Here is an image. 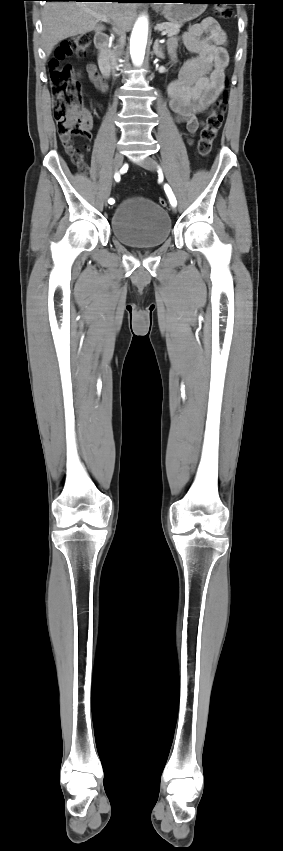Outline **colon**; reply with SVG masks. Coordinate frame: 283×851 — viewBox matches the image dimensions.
Instances as JSON below:
<instances>
[{
    "mask_svg": "<svg viewBox=\"0 0 283 851\" xmlns=\"http://www.w3.org/2000/svg\"><path fill=\"white\" fill-rule=\"evenodd\" d=\"M217 17L228 19L232 16L229 6L220 5L214 10ZM88 34H78L65 40L57 48L55 57L50 62V81L53 94V115L57 123V131L61 141H71L73 137L89 139L90 122L88 115L82 106L81 87L74 77L71 66L61 65L60 62L69 57L83 56L89 46ZM226 95L224 94L213 106L205 125L201 129L198 141V152L201 156H207L221 129L226 111ZM72 162L80 169H84V157L78 150L70 151ZM162 206L166 205L164 198L159 199Z\"/></svg>",
    "mask_w": 283,
    "mask_h": 851,
    "instance_id": "colon-1",
    "label": "colon"
}]
</instances>
